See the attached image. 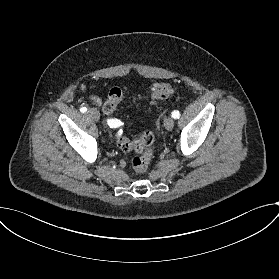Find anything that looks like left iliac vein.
I'll use <instances>...</instances> for the list:
<instances>
[{
  "label": "left iliac vein",
  "mask_w": 279,
  "mask_h": 279,
  "mask_svg": "<svg viewBox=\"0 0 279 279\" xmlns=\"http://www.w3.org/2000/svg\"><path fill=\"white\" fill-rule=\"evenodd\" d=\"M165 126H166V129H167V130L171 131V130L173 129V127H174V121H173V119L167 118V119L165 120Z\"/></svg>",
  "instance_id": "1"
}]
</instances>
